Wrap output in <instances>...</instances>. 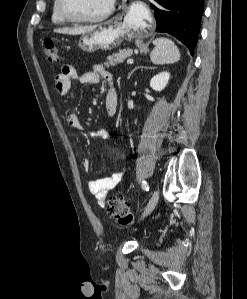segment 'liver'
Returning <instances> with one entry per match:
<instances>
[{"label":"liver","mask_w":247,"mask_h":299,"mask_svg":"<svg viewBox=\"0 0 247 299\" xmlns=\"http://www.w3.org/2000/svg\"><path fill=\"white\" fill-rule=\"evenodd\" d=\"M96 27L97 25L78 26L72 28H58L55 29L54 32L67 35H81L92 32Z\"/></svg>","instance_id":"liver-1"}]
</instances>
